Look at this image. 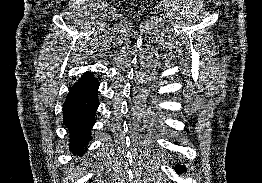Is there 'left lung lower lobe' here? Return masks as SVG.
Instances as JSON below:
<instances>
[{"instance_id":"0a47b994","label":"left lung lower lobe","mask_w":262,"mask_h":183,"mask_svg":"<svg viewBox=\"0 0 262 183\" xmlns=\"http://www.w3.org/2000/svg\"><path fill=\"white\" fill-rule=\"evenodd\" d=\"M175 169H176V171H179V170H180V171L182 172V171L184 170V166H181V167H180V166H177V165H176V166H175Z\"/></svg>"}]
</instances>
